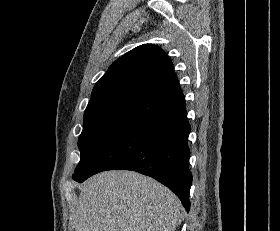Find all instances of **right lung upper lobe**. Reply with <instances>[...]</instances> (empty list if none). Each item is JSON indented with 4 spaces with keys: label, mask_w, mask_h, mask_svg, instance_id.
<instances>
[{
    "label": "right lung upper lobe",
    "mask_w": 280,
    "mask_h": 231,
    "mask_svg": "<svg viewBox=\"0 0 280 231\" xmlns=\"http://www.w3.org/2000/svg\"><path fill=\"white\" fill-rule=\"evenodd\" d=\"M185 104L165 52L153 44L134 48L117 59L95 84L84 119L125 118L137 123Z\"/></svg>",
    "instance_id": "cb5924a9"
}]
</instances>
